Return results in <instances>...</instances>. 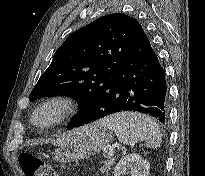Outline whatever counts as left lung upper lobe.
I'll return each instance as SVG.
<instances>
[{"mask_svg":"<svg viewBox=\"0 0 205 176\" xmlns=\"http://www.w3.org/2000/svg\"><path fill=\"white\" fill-rule=\"evenodd\" d=\"M144 36L139 22L122 13L100 17L73 32L55 52L30 93V101L57 95L78 99V114L69 126L73 128Z\"/></svg>","mask_w":205,"mask_h":176,"instance_id":"left-lung-upper-lobe-1","label":"left lung upper lobe"}]
</instances>
